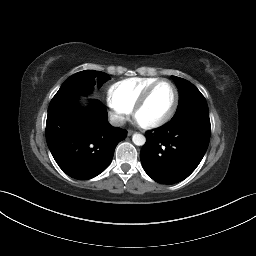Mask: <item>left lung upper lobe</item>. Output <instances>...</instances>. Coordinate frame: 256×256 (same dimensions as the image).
<instances>
[{"label":"left lung upper lobe","mask_w":256,"mask_h":256,"mask_svg":"<svg viewBox=\"0 0 256 256\" xmlns=\"http://www.w3.org/2000/svg\"><path fill=\"white\" fill-rule=\"evenodd\" d=\"M179 90V104L172 119L186 113H199L209 116L207 102L201 92L189 81L172 76Z\"/></svg>","instance_id":"1"}]
</instances>
